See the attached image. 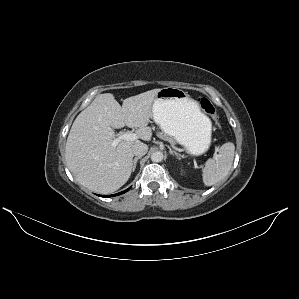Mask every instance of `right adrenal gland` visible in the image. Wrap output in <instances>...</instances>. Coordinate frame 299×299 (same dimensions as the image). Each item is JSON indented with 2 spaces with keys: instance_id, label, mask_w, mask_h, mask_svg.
<instances>
[{
  "instance_id": "1",
  "label": "right adrenal gland",
  "mask_w": 299,
  "mask_h": 299,
  "mask_svg": "<svg viewBox=\"0 0 299 299\" xmlns=\"http://www.w3.org/2000/svg\"><path fill=\"white\" fill-rule=\"evenodd\" d=\"M139 159H141V156H137V157H135L134 160H133V167H132V171H133V172H134L135 169H136L137 161H138Z\"/></svg>"
}]
</instances>
